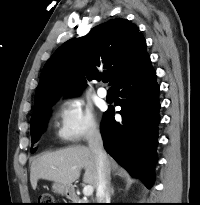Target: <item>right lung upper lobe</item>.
<instances>
[{"mask_svg": "<svg viewBox=\"0 0 200 205\" xmlns=\"http://www.w3.org/2000/svg\"><path fill=\"white\" fill-rule=\"evenodd\" d=\"M149 59L145 39L127 19L94 27L86 36L65 42L46 62L32 118L44 102L80 93L86 79L100 80L108 72L114 87Z\"/></svg>", "mask_w": 200, "mask_h": 205, "instance_id": "cb5924a9", "label": "right lung upper lobe"}]
</instances>
